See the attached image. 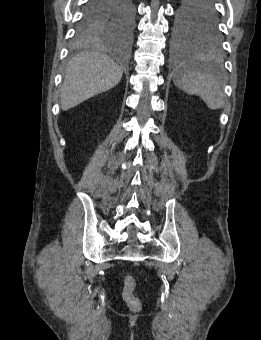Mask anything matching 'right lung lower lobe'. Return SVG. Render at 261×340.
<instances>
[{
  "label": "right lung lower lobe",
  "mask_w": 261,
  "mask_h": 340,
  "mask_svg": "<svg viewBox=\"0 0 261 340\" xmlns=\"http://www.w3.org/2000/svg\"><path fill=\"white\" fill-rule=\"evenodd\" d=\"M124 6L125 0H88L82 20L103 14L115 16Z\"/></svg>",
  "instance_id": "right-lung-lower-lobe-1"
}]
</instances>
